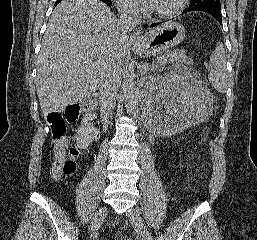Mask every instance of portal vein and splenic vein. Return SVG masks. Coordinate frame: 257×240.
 Wrapping results in <instances>:
<instances>
[{
  "instance_id": "portal-vein-and-splenic-vein-1",
  "label": "portal vein and splenic vein",
  "mask_w": 257,
  "mask_h": 240,
  "mask_svg": "<svg viewBox=\"0 0 257 240\" xmlns=\"http://www.w3.org/2000/svg\"><path fill=\"white\" fill-rule=\"evenodd\" d=\"M147 70H149V65L148 64L143 66V71L146 72Z\"/></svg>"
}]
</instances>
